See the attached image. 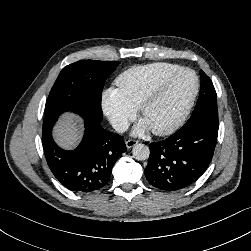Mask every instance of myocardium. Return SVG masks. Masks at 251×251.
<instances>
[{"instance_id":"myocardium-1","label":"myocardium","mask_w":251,"mask_h":251,"mask_svg":"<svg viewBox=\"0 0 251 251\" xmlns=\"http://www.w3.org/2000/svg\"><path fill=\"white\" fill-rule=\"evenodd\" d=\"M186 72L192 74L195 79V85H194L193 92H192L186 106L184 107L183 111L181 112L179 117L171 125H169L168 127L162 128V129H152V132L155 135H158V136L170 135V134L174 133L175 131H177L186 122V120H187V118H188V116L194 106V103L196 101L198 93H199L200 81H199L198 75L196 74V72L194 70H192L190 68H186V67H181L178 70L168 74L163 79H161L148 92V94L142 100V102L138 108L139 115L142 118L146 109L149 106H151L160 97V95L163 93V91L166 89V87L169 85V83L175 77H177L179 74L186 73Z\"/></svg>"}]
</instances>
